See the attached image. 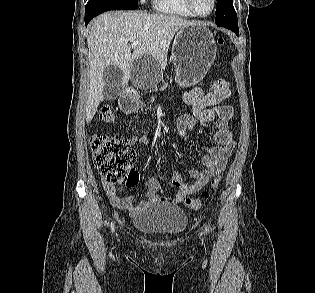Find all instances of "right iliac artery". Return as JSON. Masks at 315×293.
Wrapping results in <instances>:
<instances>
[{"label":"right iliac artery","instance_id":"right-iliac-artery-1","mask_svg":"<svg viewBox=\"0 0 315 293\" xmlns=\"http://www.w3.org/2000/svg\"><path fill=\"white\" fill-rule=\"evenodd\" d=\"M111 229L114 231V223L111 224Z\"/></svg>","mask_w":315,"mask_h":293}]
</instances>
